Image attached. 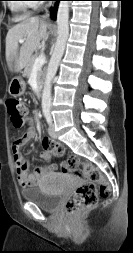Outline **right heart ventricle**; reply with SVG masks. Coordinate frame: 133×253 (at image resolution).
Here are the masks:
<instances>
[{"label":"right heart ventricle","instance_id":"obj_1","mask_svg":"<svg viewBox=\"0 0 133 253\" xmlns=\"http://www.w3.org/2000/svg\"><path fill=\"white\" fill-rule=\"evenodd\" d=\"M17 21L25 19L29 15V4L22 0H14L9 4Z\"/></svg>","mask_w":133,"mask_h":253}]
</instances>
